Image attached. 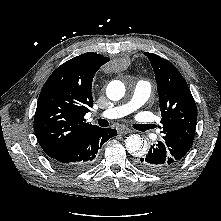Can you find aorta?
Listing matches in <instances>:
<instances>
[{
    "label": "aorta",
    "mask_w": 221,
    "mask_h": 221,
    "mask_svg": "<svg viewBox=\"0 0 221 221\" xmlns=\"http://www.w3.org/2000/svg\"><path fill=\"white\" fill-rule=\"evenodd\" d=\"M125 85L119 80L111 81L106 88L107 97L112 101H118L125 95ZM126 150L133 156L139 157L147 150L146 141L138 134H132L125 140Z\"/></svg>",
    "instance_id": "1"
}]
</instances>
